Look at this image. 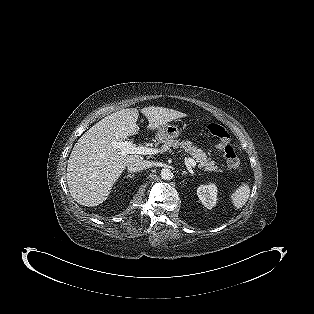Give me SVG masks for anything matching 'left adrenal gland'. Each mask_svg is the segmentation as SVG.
Returning <instances> with one entry per match:
<instances>
[{"label": "left adrenal gland", "instance_id": "a2214340", "mask_svg": "<svg viewBox=\"0 0 314 314\" xmlns=\"http://www.w3.org/2000/svg\"><path fill=\"white\" fill-rule=\"evenodd\" d=\"M186 174H187V172H186V171H183V172H182V175H186Z\"/></svg>", "mask_w": 314, "mask_h": 314}]
</instances>
